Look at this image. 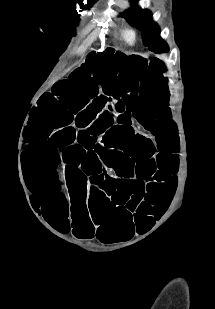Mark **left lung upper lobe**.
<instances>
[{"instance_id":"1","label":"left lung upper lobe","mask_w":215,"mask_h":309,"mask_svg":"<svg viewBox=\"0 0 215 309\" xmlns=\"http://www.w3.org/2000/svg\"><path fill=\"white\" fill-rule=\"evenodd\" d=\"M127 20L142 31V39L151 51L163 52L168 49L167 44L160 39V32L151 21V14L145 10H128L124 13Z\"/></svg>"}]
</instances>
